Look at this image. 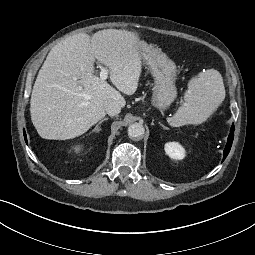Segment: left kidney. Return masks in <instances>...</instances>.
<instances>
[{
	"label": "left kidney",
	"instance_id": "5707ae66",
	"mask_svg": "<svg viewBox=\"0 0 255 255\" xmlns=\"http://www.w3.org/2000/svg\"><path fill=\"white\" fill-rule=\"evenodd\" d=\"M164 149L171 159L182 160L185 157V149L177 142L166 143Z\"/></svg>",
	"mask_w": 255,
	"mask_h": 255
}]
</instances>
